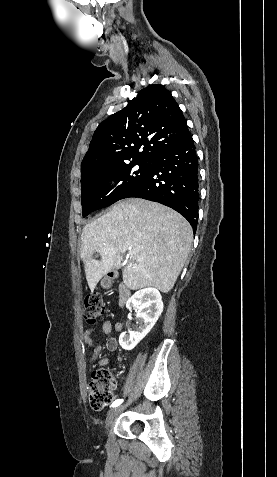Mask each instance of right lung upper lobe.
I'll use <instances>...</instances> for the list:
<instances>
[{"label":"right lung upper lobe","mask_w":277,"mask_h":477,"mask_svg":"<svg viewBox=\"0 0 277 477\" xmlns=\"http://www.w3.org/2000/svg\"><path fill=\"white\" fill-rule=\"evenodd\" d=\"M189 133L186 119L160 84L149 85L121 111L99 124L81 163V171L132 161H150ZM143 145V151L139 148Z\"/></svg>","instance_id":"1"}]
</instances>
